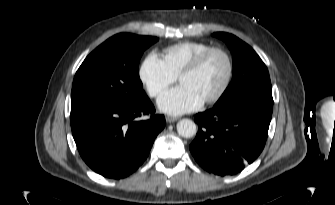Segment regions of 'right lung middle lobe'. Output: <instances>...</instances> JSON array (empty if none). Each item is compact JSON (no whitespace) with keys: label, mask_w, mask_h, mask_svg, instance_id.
Listing matches in <instances>:
<instances>
[{"label":"right lung middle lobe","mask_w":335,"mask_h":205,"mask_svg":"<svg viewBox=\"0 0 335 205\" xmlns=\"http://www.w3.org/2000/svg\"><path fill=\"white\" fill-rule=\"evenodd\" d=\"M156 41V37L120 33L102 43L75 74L71 107L131 103L145 96L138 66L143 52Z\"/></svg>","instance_id":"obj_1"}]
</instances>
